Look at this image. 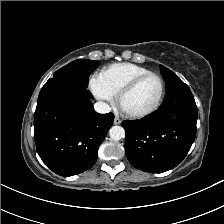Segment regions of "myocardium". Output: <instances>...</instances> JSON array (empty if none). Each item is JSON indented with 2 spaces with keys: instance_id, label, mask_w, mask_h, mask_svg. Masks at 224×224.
Wrapping results in <instances>:
<instances>
[{
  "instance_id": "obj_1",
  "label": "myocardium",
  "mask_w": 224,
  "mask_h": 224,
  "mask_svg": "<svg viewBox=\"0 0 224 224\" xmlns=\"http://www.w3.org/2000/svg\"><path fill=\"white\" fill-rule=\"evenodd\" d=\"M150 77H154L159 81L160 84V93L159 96L156 100V102L154 103V105L152 107H150L149 109L145 110V111H141V112H135V113H129L123 110L122 108V99L124 98V96H126L128 93H130L132 90H134L142 81H144L147 78ZM165 81L164 79L157 73H146L140 76L135 77L134 79H132L131 81H129L126 85H124L120 91L117 94V102L118 105L120 106V108L131 118L134 119H140V118H144L147 117L151 114H153L154 112H156L159 107L162 104V101L164 99V95H165Z\"/></svg>"
}]
</instances>
